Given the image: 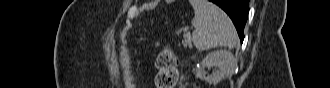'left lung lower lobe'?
Segmentation results:
<instances>
[{"mask_svg": "<svg viewBox=\"0 0 330 88\" xmlns=\"http://www.w3.org/2000/svg\"><path fill=\"white\" fill-rule=\"evenodd\" d=\"M222 8L233 21L241 42H243V30L249 12V0H210Z\"/></svg>", "mask_w": 330, "mask_h": 88, "instance_id": "left-lung-lower-lobe-1", "label": "left lung lower lobe"}]
</instances>
